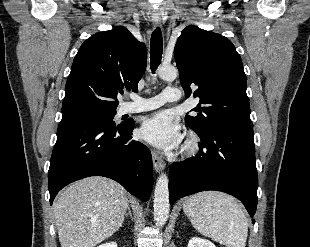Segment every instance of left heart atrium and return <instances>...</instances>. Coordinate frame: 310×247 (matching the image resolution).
<instances>
[{
    "label": "left heart atrium",
    "instance_id": "39dd6f15",
    "mask_svg": "<svg viewBox=\"0 0 310 247\" xmlns=\"http://www.w3.org/2000/svg\"><path fill=\"white\" fill-rule=\"evenodd\" d=\"M140 136L163 150L178 147L182 137L179 125L169 111H160L149 117L141 126Z\"/></svg>",
    "mask_w": 310,
    "mask_h": 247
}]
</instances>
